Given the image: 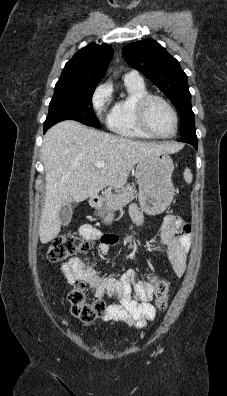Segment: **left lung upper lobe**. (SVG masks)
Here are the masks:
<instances>
[{"instance_id": "obj_1", "label": "left lung upper lobe", "mask_w": 227, "mask_h": 396, "mask_svg": "<svg viewBox=\"0 0 227 396\" xmlns=\"http://www.w3.org/2000/svg\"><path fill=\"white\" fill-rule=\"evenodd\" d=\"M122 55L131 67L146 75L174 104L180 116V135L195 130L188 80L179 62L152 39L126 45Z\"/></svg>"}]
</instances>
